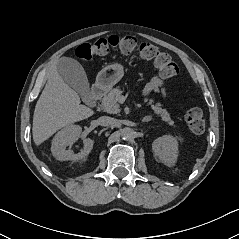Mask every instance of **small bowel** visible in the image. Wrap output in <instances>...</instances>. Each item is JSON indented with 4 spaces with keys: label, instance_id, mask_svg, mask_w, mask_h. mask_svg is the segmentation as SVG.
Listing matches in <instances>:
<instances>
[{
    "label": "small bowel",
    "instance_id": "c3829d8e",
    "mask_svg": "<svg viewBox=\"0 0 239 239\" xmlns=\"http://www.w3.org/2000/svg\"><path fill=\"white\" fill-rule=\"evenodd\" d=\"M167 93L166 84L159 76H153L143 90V95L158 94L165 96Z\"/></svg>",
    "mask_w": 239,
    "mask_h": 239
}]
</instances>
